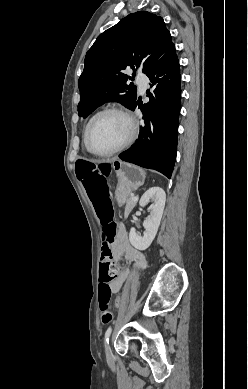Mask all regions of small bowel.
<instances>
[{"mask_svg":"<svg viewBox=\"0 0 248 389\" xmlns=\"http://www.w3.org/2000/svg\"><path fill=\"white\" fill-rule=\"evenodd\" d=\"M112 254L117 260L124 256L134 268L143 269L145 267L143 255L130 244L128 234L123 225H120L117 239L112 245ZM129 276L130 269H122L111 285L112 292L118 293Z\"/></svg>","mask_w":248,"mask_h":389,"instance_id":"obj_1","label":"small bowel"}]
</instances>
